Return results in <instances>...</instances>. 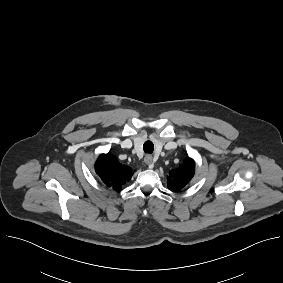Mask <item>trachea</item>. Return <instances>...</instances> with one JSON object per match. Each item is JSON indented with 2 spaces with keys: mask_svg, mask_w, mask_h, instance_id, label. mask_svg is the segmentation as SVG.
Masks as SVG:
<instances>
[{
  "mask_svg": "<svg viewBox=\"0 0 283 283\" xmlns=\"http://www.w3.org/2000/svg\"><path fill=\"white\" fill-rule=\"evenodd\" d=\"M145 153H152L154 151V144L151 141H146L143 145Z\"/></svg>",
  "mask_w": 283,
  "mask_h": 283,
  "instance_id": "trachea-1",
  "label": "trachea"
}]
</instances>
